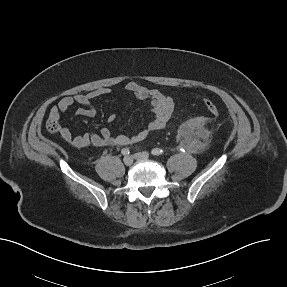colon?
Segmentation results:
<instances>
[{"label":"colon","instance_id":"obj_1","mask_svg":"<svg viewBox=\"0 0 287 287\" xmlns=\"http://www.w3.org/2000/svg\"><path fill=\"white\" fill-rule=\"evenodd\" d=\"M204 106L206 111L212 116H217L219 114L218 106L211 100H204ZM47 131L51 134H58L61 131V126L58 120L50 118L46 124Z\"/></svg>","mask_w":287,"mask_h":287}]
</instances>
